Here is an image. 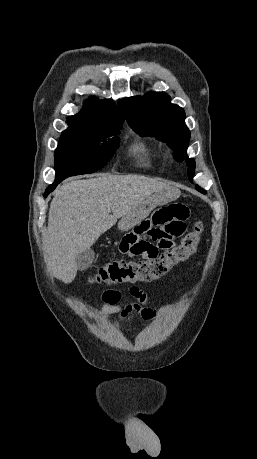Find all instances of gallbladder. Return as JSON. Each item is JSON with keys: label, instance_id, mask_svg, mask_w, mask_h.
Returning a JSON list of instances; mask_svg holds the SVG:
<instances>
[{"label": "gallbladder", "instance_id": "1", "mask_svg": "<svg viewBox=\"0 0 257 459\" xmlns=\"http://www.w3.org/2000/svg\"><path fill=\"white\" fill-rule=\"evenodd\" d=\"M95 258V253L93 250L88 249L80 254L77 255L76 257V265L79 270H86L91 266Z\"/></svg>", "mask_w": 257, "mask_h": 459}]
</instances>
